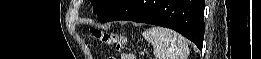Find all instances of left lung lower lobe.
I'll return each instance as SVG.
<instances>
[{"label":"left lung lower lobe","instance_id":"0a47b994","mask_svg":"<svg viewBox=\"0 0 261 59\" xmlns=\"http://www.w3.org/2000/svg\"><path fill=\"white\" fill-rule=\"evenodd\" d=\"M204 5V0H120L98 20H130L171 28L202 49Z\"/></svg>","mask_w":261,"mask_h":59}]
</instances>
